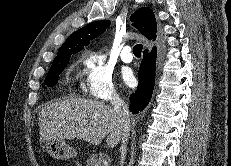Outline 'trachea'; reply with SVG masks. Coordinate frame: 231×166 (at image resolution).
<instances>
[{"instance_id": "3493384b", "label": "trachea", "mask_w": 231, "mask_h": 166, "mask_svg": "<svg viewBox=\"0 0 231 166\" xmlns=\"http://www.w3.org/2000/svg\"><path fill=\"white\" fill-rule=\"evenodd\" d=\"M142 49H143V45H142V44H136V45L133 47V54H134L136 57H141Z\"/></svg>"}]
</instances>
